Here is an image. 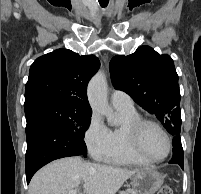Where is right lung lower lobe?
Here are the masks:
<instances>
[{
    "instance_id": "right-lung-lower-lobe-1",
    "label": "right lung lower lobe",
    "mask_w": 201,
    "mask_h": 194,
    "mask_svg": "<svg viewBox=\"0 0 201 194\" xmlns=\"http://www.w3.org/2000/svg\"><path fill=\"white\" fill-rule=\"evenodd\" d=\"M26 138L27 183L39 168L50 161L83 155L84 150H87L82 138L44 117H33L27 120Z\"/></svg>"
}]
</instances>
